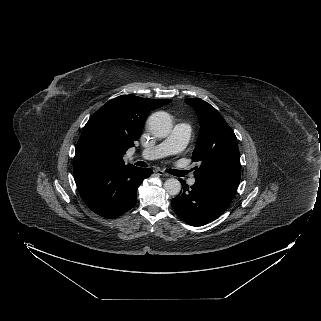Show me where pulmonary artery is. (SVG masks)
I'll return each mask as SVG.
<instances>
[{
    "mask_svg": "<svg viewBox=\"0 0 321 321\" xmlns=\"http://www.w3.org/2000/svg\"><path fill=\"white\" fill-rule=\"evenodd\" d=\"M190 136V125L187 123H177L167 138L152 147L143 149L139 155L144 159L152 160L179 153L187 145ZM194 183V178L189 180L190 185Z\"/></svg>",
    "mask_w": 321,
    "mask_h": 321,
    "instance_id": "1",
    "label": "pulmonary artery"
}]
</instances>
